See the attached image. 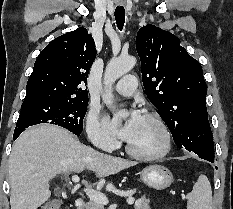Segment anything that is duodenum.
Instances as JSON below:
<instances>
[{
    "instance_id": "duodenum-1",
    "label": "duodenum",
    "mask_w": 233,
    "mask_h": 209,
    "mask_svg": "<svg viewBox=\"0 0 233 209\" xmlns=\"http://www.w3.org/2000/svg\"><path fill=\"white\" fill-rule=\"evenodd\" d=\"M75 206L77 207V209H84L85 201L82 198H77L75 200Z\"/></svg>"
}]
</instances>
